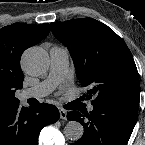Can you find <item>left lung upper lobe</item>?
I'll use <instances>...</instances> for the list:
<instances>
[{"mask_svg":"<svg viewBox=\"0 0 145 145\" xmlns=\"http://www.w3.org/2000/svg\"><path fill=\"white\" fill-rule=\"evenodd\" d=\"M54 36L67 46L81 84L92 104L140 100L138 71L125 42L92 19L53 22Z\"/></svg>","mask_w":145,"mask_h":145,"instance_id":"left-lung-upper-lobe-1","label":"left lung upper lobe"}]
</instances>
